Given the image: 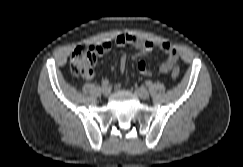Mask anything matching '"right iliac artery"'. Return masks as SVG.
<instances>
[{
    "label": "right iliac artery",
    "instance_id": "82829eb1",
    "mask_svg": "<svg viewBox=\"0 0 243 167\" xmlns=\"http://www.w3.org/2000/svg\"><path fill=\"white\" fill-rule=\"evenodd\" d=\"M101 84H102L103 87L104 86H108L109 85V81L107 79H105V80L102 81Z\"/></svg>",
    "mask_w": 243,
    "mask_h": 167
}]
</instances>
